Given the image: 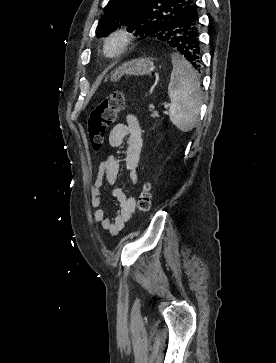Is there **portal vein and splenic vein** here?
I'll use <instances>...</instances> for the list:
<instances>
[{
  "label": "portal vein and splenic vein",
  "instance_id": "18ae733b",
  "mask_svg": "<svg viewBox=\"0 0 276 363\" xmlns=\"http://www.w3.org/2000/svg\"><path fill=\"white\" fill-rule=\"evenodd\" d=\"M169 105H170V104H168V103H167V104H165V105H164V108H165V109H167V108L169 107Z\"/></svg>",
  "mask_w": 276,
  "mask_h": 363
}]
</instances>
